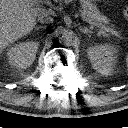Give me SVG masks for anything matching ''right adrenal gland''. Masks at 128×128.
<instances>
[{
    "mask_svg": "<svg viewBox=\"0 0 128 128\" xmlns=\"http://www.w3.org/2000/svg\"><path fill=\"white\" fill-rule=\"evenodd\" d=\"M40 28H46V26H37V27H35V30H38V29H40Z\"/></svg>",
    "mask_w": 128,
    "mask_h": 128,
    "instance_id": "right-adrenal-gland-1",
    "label": "right adrenal gland"
}]
</instances>
